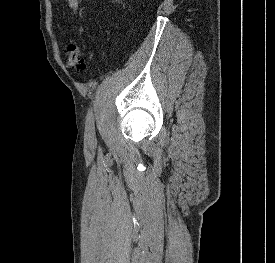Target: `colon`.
<instances>
[{
	"instance_id": "1",
	"label": "colon",
	"mask_w": 275,
	"mask_h": 263,
	"mask_svg": "<svg viewBox=\"0 0 275 263\" xmlns=\"http://www.w3.org/2000/svg\"><path fill=\"white\" fill-rule=\"evenodd\" d=\"M67 66L77 73L86 69L83 49L76 40H72L67 47Z\"/></svg>"
}]
</instances>
